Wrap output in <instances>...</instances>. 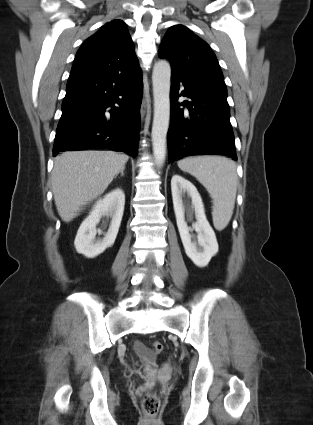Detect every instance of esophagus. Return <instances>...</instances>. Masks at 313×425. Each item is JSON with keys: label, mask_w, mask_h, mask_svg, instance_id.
Wrapping results in <instances>:
<instances>
[{"label": "esophagus", "mask_w": 313, "mask_h": 425, "mask_svg": "<svg viewBox=\"0 0 313 425\" xmlns=\"http://www.w3.org/2000/svg\"><path fill=\"white\" fill-rule=\"evenodd\" d=\"M146 106H147L146 101H145V99H143L142 106H141V117H142V118H143V117L145 116V114H146Z\"/></svg>", "instance_id": "34e87169"}]
</instances>
